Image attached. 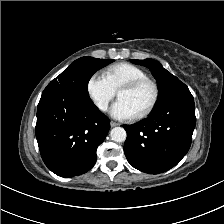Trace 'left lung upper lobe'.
<instances>
[{
  "label": "left lung upper lobe",
  "mask_w": 224,
  "mask_h": 224,
  "mask_svg": "<svg viewBox=\"0 0 224 224\" xmlns=\"http://www.w3.org/2000/svg\"><path fill=\"white\" fill-rule=\"evenodd\" d=\"M131 62L148 67L157 80L159 87V99L155 109L164 106L165 104L179 96L191 94L188 87L183 84L177 77L164 69L158 61L153 59H131Z\"/></svg>",
  "instance_id": "1"
}]
</instances>
